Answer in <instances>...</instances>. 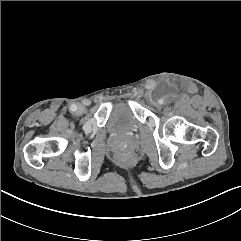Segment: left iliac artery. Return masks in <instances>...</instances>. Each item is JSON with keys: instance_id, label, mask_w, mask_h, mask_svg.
<instances>
[{"instance_id": "left-iliac-artery-1", "label": "left iliac artery", "mask_w": 241, "mask_h": 241, "mask_svg": "<svg viewBox=\"0 0 241 241\" xmlns=\"http://www.w3.org/2000/svg\"><path fill=\"white\" fill-rule=\"evenodd\" d=\"M163 102H164L163 99H160V100H159V103H160V104H163Z\"/></svg>"}]
</instances>
